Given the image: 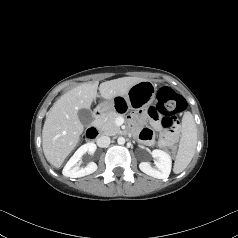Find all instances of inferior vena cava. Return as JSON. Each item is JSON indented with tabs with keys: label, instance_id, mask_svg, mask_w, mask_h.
I'll return each instance as SVG.
<instances>
[{
	"label": "inferior vena cava",
	"instance_id": "inferior-vena-cava-1",
	"mask_svg": "<svg viewBox=\"0 0 238 238\" xmlns=\"http://www.w3.org/2000/svg\"><path fill=\"white\" fill-rule=\"evenodd\" d=\"M96 143H97V145H98L99 147H102V148L108 147L109 144H110V137H108V136H100V137L97 139Z\"/></svg>",
	"mask_w": 238,
	"mask_h": 238
}]
</instances>
